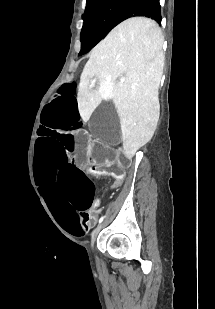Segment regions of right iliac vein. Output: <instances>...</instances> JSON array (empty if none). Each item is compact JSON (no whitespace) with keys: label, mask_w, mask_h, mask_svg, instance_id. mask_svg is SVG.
Instances as JSON below:
<instances>
[{"label":"right iliac vein","mask_w":215,"mask_h":309,"mask_svg":"<svg viewBox=\"0 0 215 309\" xmlns=\"http://www.w3.org/2000/svg\"><path fill=\"white\" fill-rule=\"evenodd\" d=\"M104 223H101L99 224L95 229L94 231L92 232V235H91V247L93 248L94 247V242L96 241V238H97V235L99 234V231L102 229V227L104 226Z\"/></svg>","instance_id":"right-iliac-vein-1"}]
</instances>
